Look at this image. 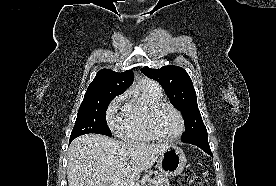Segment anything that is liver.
<instances>
[{
    "instance_id": "6515ba94",
    "label": "liver",
    "mask_w": 276,
    "mask_h": 186,
    "mask_svg": "<svg viewBox=\"0 0 276 186\" xmlns=\"http://www.w3.org/2000/svg\"><path fill=\"white\" fill-rule=\"evenodd\" d=\"M170 146L118 141L98 134L79 136L67 153L68 186H111L113 179L135 182Z\"/></svg>"
}]
</instances>
